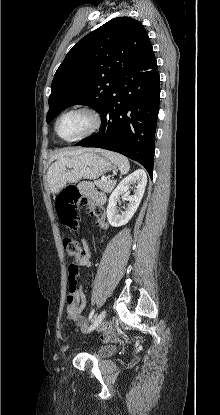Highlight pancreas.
Returning a JSON list of instances; mask_svg holds the SVG:
<instances>
[{"label":"pancreas","mask_w":220,"mask_h":415,"mask_svg":"<svg viewBox=\"0 0 220 415\" xmlns=\"http://www.w3.org/2000/svg\"><path fill=\"white\" fill-rule=\"evenodd\" d=\"M94 184L100 190H102L103 192L110 193L113 190V188H114V186L116 184V181L115 180H107V181L95 180L94 181Z\"/></svg>","instance_id":"pancreas-1"}]
</instances>
